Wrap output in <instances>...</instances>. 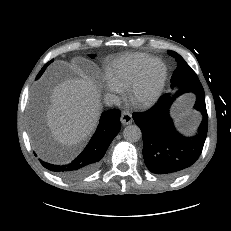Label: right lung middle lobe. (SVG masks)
Here are the masks:
<instances>
[{
	"instance_id": "obj_1",
	"label": "right lung middle lobe",
	"mask_w": 231,
	"mask_h": 231,
	"mask_svg": "<svg viewBox=\"0 0 231 231\" xmlns=\"http://www.w3.org/2000/svg\"><path fill=\"white\" fill-rule=\"evenodd\" d=\"M91 57H93L92 55H90ZM49 63H51V61L49 62ZM48 63V64H49ZM48 64H46L43 68H42V70L39 72V74L37 75V78L36 79H38V78H40V76L43 74V72H44V70L46 69V66L48 65Z\"/></svg>"
}]
</instances>
